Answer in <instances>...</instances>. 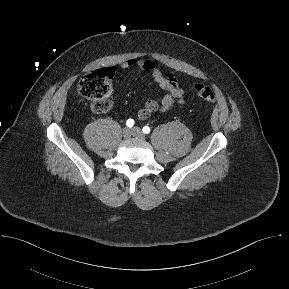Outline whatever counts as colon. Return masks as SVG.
Returning <instances> with one entry per match:
<instances>
[{"label": "colon", "instance_id": "1", "mask_svg": "<svg viewBox=\"0 0 289 289\" xmlns=\"http://www.w3.org/2000/svg\"><path fill=\"white\" fill-rule=\"evenodd\" d=\"M112 77V69H100L86 74L79 82L80 94L90 102L96 113H104L112 108ZM193 88L201 99L207 102L215 101V93L211 87L196 82Z\"/></svg>", "mask_w": 289, "mask_h": 289}]
</instances>
